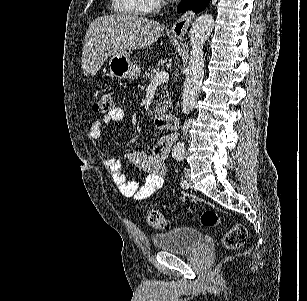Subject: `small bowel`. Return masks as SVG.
Segmentation results:
<instances>
[{
	"instance_id": "1",
	"label": "small bowel",
	"mask_w": 307,
	"mask_h": 301,
	"mask_svg": "<svg viewBox=\"0 0 307 301\" xmlns=\"http://www.w3.org/2000/svg\"><path fill=\"white\" fill-rule=\"evenodd\" d=\"M124 118V111L120 107H113L101 119L95 120L90 128V137L99 139L103 133L104 125L112 122H120ZM170 142L161 139L157 142L151 153L133 151L127 154V159L136 167L147 173L145 181L140 184L128 180L122 170L121 164L113 159L107 152L100 153L105 168L110 173L114 184L120 193L135 200H145L160 190L165 181V159L169 152Z\"/></svg>"
}]
</instances>
